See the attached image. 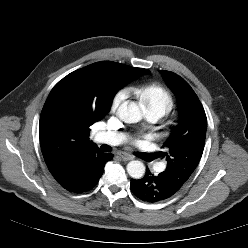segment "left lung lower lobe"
Wrapping results in <instances>:
<instances>
[{
  "label": "left lung lower lobe",
  "mask_w": 248,
  "mask_h": 248,
  "mask_svg": "<svg viewBox=\"0 0 248 248\" xmlns=\"http://www.w3.org/2000/svg\"><path fill=\"white\" fill-rule=\"evenodd\" d=\"M130 188L137 198L150 203L168 199L179 190L167 174L154 176L148 169L142 179H131Z\"/></svg>",
  "instance_id": "obj_1"
}]
</instances>
